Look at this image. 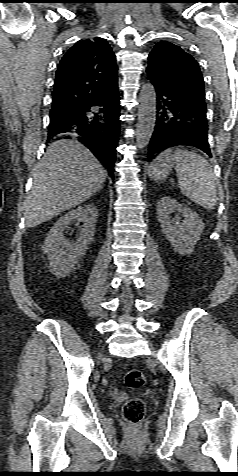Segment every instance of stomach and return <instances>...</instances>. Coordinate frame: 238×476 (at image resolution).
Masks as SVG:
<instances>
[{
  "mask_svg": "<svg viewBox=\"0 0 238 476\" xmlns=\"http://www.w3.org/2000/svg\"><path fill=\"white\" fill-rule=\"evenodd\" d=\"M175 161L170 151L161 153L149 166L148 175L155 181L164 180L170 170L173 168Z\"/></svg>",
  "mask_w": 238,
  "mask_h": 476,
  "instance_id": "0dacf381",
  "label": "stomach"
}]
</instances>
